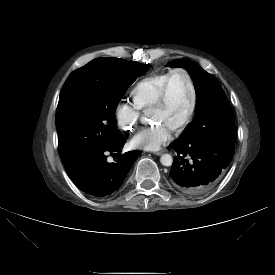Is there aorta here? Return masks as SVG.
Wrapping results in <instances>:
<instances>
[{"label": "aorta", "instance_id": "762f6f07", "mask_svg": "<svg viewBox=\"0 0 275 275\" xmlns=\"http://www.w3.org/2000/svg\"><path fill=\"white\" fill-rule=\"evenodd\" d=\"M145 117L141 118V122L144 123ZM160 162L163 166H171L173 163V158L170 154H163L160 158Z\"/></svg>", "mask_w": 275, "mask_h": 275}]
</instances>
